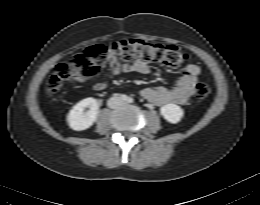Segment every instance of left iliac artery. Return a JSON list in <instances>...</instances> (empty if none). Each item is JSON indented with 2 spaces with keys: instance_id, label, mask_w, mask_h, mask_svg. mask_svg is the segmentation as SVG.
Returning a JSON list of instances; mask_svg holds the SVG:
<instances>
[{
  "instance_id": "44dca946",
  "label": "left iliac artery",
  "mask_w": 260,
  "mask_h": 205,
  "mask_svg": "<svg viewBox=\"0 0 260 205\" xmlns=\"http://www.w3.org/2000/svg\"><path fill=\"white\" fill-rule=\"evenodd\" d=\"M133 101H134L133 98H128L129 103H132Z\"/></svg>"
}]
</instances>
